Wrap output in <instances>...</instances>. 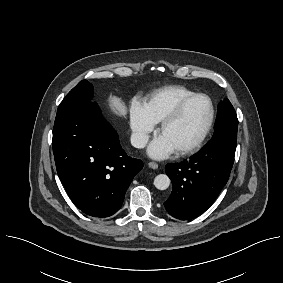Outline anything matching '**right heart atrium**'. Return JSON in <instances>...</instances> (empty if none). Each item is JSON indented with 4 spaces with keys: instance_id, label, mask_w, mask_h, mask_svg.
I'll return each mask as SVG.
<instances>
[{
    "instance_id": "right-heart-atrium-1",
    "label": "right heart atrium",
    "mask_w": 283,
    "mask_h": 283,
    "mask_svg": "<svg viewBox=\"0 0 283 283\" xmlns=\"http://www.w3.org/2000/svg\"><path fill=\"white\" fill-rule=\"evenodd\" d=\"M130 127L134 146L143 148L155 129V123L146 116L143 106L137 101L131 105Z\"/></svg>"
}]
</instances>
